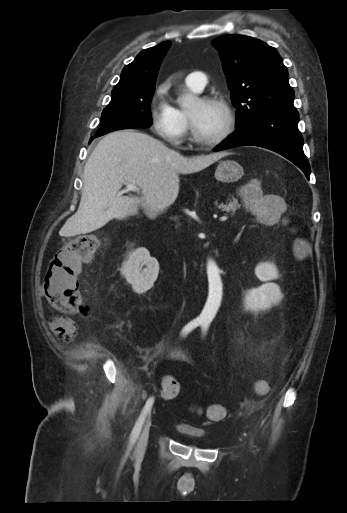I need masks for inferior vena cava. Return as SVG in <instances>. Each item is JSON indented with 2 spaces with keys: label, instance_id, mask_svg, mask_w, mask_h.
<instances>
[{
  "label": "inferior vena cava",
  "instance_id": "obj_1",
  "mask_svg": "<svg viewBox=\"0 0 347 513\" xmlns=\"http://www.w3.org/2000/svg\"><path fill=\"white\" fill-rule=\"evenodd\" d=\"M169 205H170V203H167V204H165V206H164V207L166 208V207H168Z\"/></svg>",
  "mask_w": 347,
  "mask_h": 513
}]
</instances>
